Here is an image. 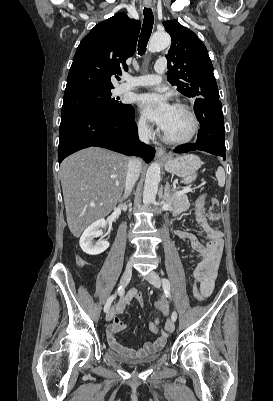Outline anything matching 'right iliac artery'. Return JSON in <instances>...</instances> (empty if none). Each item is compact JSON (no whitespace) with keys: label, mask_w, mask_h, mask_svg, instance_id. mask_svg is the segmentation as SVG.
<instances>
[{"label":"right iliac artery","mask_w":273,"mask_h":401,"mask_svg":"<svg viewBox=\"0 0 273 401\" xmlns=\"http://www.w3.org/2000/svg\"><path fill=\"white\" fill-rule=\"evenodd\" d=\"M123 291H124V288L122 287V286H120L119 288H118V293H123ZM116 297V294H114V295H112V296H110L109 298H108V300H107V302H106V304H105V306H104V312H108V310H109V308H110V305H111V303L113 302V300H114V298Z\"/></svg>","instance_id":"right-iliac-artery-1"}]
</instances>
